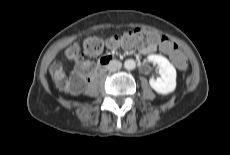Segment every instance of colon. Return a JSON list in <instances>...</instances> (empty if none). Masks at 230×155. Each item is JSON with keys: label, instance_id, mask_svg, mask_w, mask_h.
Returning <instances> with one entry per match:
<instances>
[{"label": "colon", "instance_id": "obj_1", "mask_svg": "<svg viewBox=\"0 0 230 155\" xmlns=\"http://www.w3.org/2000/svg\"><path fill=\"white\" fill-rule=\"evenodd\" d=\"M154 45H159L164 52L170 54L172 60L177 64L179 72H184L187 69V61L179 52L176 43L166 36L142 29L125 32L121 36H110L106 40L97 37L87 38L83 43V52L87 56L93 57L100 54L106 47L129 48L133 46L147 47ZM66 56L69 60L80 62L71 77H66L63 65L59 61L53 62L49 71L57 88L65 92L75 93L81 90L86 83L87 77L92 70V63L81 62L80 48L75 44L67 49Z\"/></svg>", "mask_w": 230, "mask_h": 155}]
</instances>
